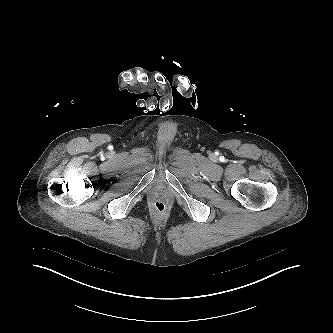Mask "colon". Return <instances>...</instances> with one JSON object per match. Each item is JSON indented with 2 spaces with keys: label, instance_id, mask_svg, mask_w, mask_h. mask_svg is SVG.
<instances>
[{
  "label": "colon",
  "instance_id": "obj_1",
  "mask_svg": "<svg viewBox=\"0 0 333 333\" xmlns=\"http://www.w3.org/2000/svg\"><path fill=\"white\" fill-rule=\"evenodd\" d=\"M153 208L154 210L159 213V214H162L164 213L166 210H167V205L164 201L162 200H156L154 203H153Z\"/></svg>",
  "mask_w": 333,
  "mask_h": 333
}]
</instances>
